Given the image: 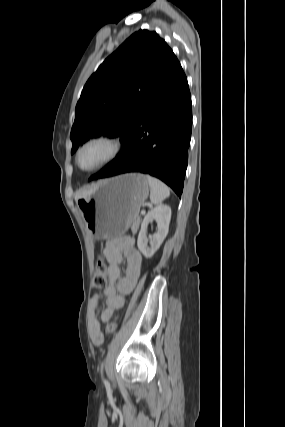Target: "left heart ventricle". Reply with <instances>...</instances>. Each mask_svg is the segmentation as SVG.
I'll list each match as a JSON object with an SVG mask.
<instances>
[{"label":"left heart ventricle","mask_w":285,"mask_h":427,"mask_svg":"<svg viewBox=\"0 0 285 427\" xmlns=\"http://www.w3.org/2000/svg\"><path fill=\"white\" fill-rule=\"evenodd\" d=\"M110 148L105 143H94L82 153L80 163L83 168H91L99 164L109 153Z\"/></svg>","instance_id":"left-heart-ventricle-1"}]
</instances>
